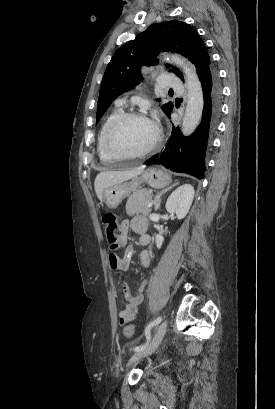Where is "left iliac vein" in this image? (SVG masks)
I'll list each match as a JSON object with an SVG mask.
<instances>
[{"instance_id":"4c4485c4","label":"left iliac vein","mask_w":275,"mask_h":409,"mask_svg":"<svg viewBox=\"0 0 275 409\" xmlns=\"http://www.w3.org/2000/svg\"><path fill=\"white\" fill-rule=\"evenodd\" d=\"M167 329V320H164L155 328L154 336L149 345L136 353L130 358L128 365H132L134 362L151 355L162 342Z\"/></svg>"}]
</instances>
